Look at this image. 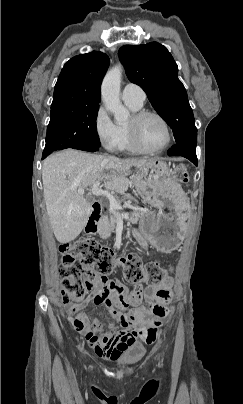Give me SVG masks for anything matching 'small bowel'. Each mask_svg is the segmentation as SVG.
<instances>
[{"label": "small bowel", "instance_id": "c3829d8e", "mask_svg": "<svg viewBox=\"0 0 243 404\" xmlns=\"http://www.w3.org/2000/svg\"><path fill=\"white\" fill-rule=\"evenodd\" d=\"M140 241L144 244L142 239ZM99 282V286L87 299L72 307L71 312L75 313L76 317L67 316L69 325L84 335L95 353L99 357L115 360L137 340L147 344L155 342L158 328L167 315V306L172 297V280L166 278L161 284L147 287L146 305L126 314L117 309L124 300L125 288L107 277L100 279ZM91 301L96 304H106L112 317L119 324L117 329L110 322H93L87 314L82 312V309Z\"/></svg>", "mask_w": 243, "mask_h": 404}]
</instances>
